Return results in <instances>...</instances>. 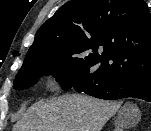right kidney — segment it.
Segmentation results:
<instances>
[{
    "label": "right kidney",
    "mask_w": 151,
    "mask_h": 131,
    "mask_svg": "<svg viewBox=\"0 0 151 131\" xmlns=\"http://www.w3.org/2000/svg\"><path fill=\"white\" fill-rule=\"evenodd\" d=\"M135 112H136V114H138V111H137V110H136ZM132 122L135 123V120H133ZM119 127L121 128V127H122V124H120ZM120 130H121V129H120Z\"/></svg>",
    "instance_id": "ca27d5eb"
}]
</instances>
